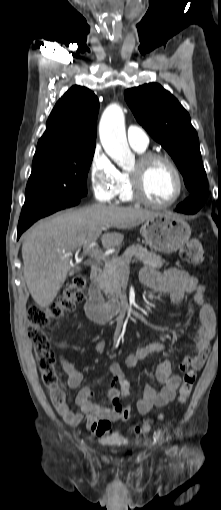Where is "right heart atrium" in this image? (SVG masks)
<instances>
[{
	"mask_svg": "<svg viewBox=\"0 0 221 510\" xmlns=\"http://www.w3.org/2000/svg\"><path fill=\"white\" fill-rule=\"evenodd\" d=\"M89 177L93 194L100 203H111L118 195L120 171L100 147H96L92 154Z\"/></svg>",
	"mask_w": 221,
	"mask_h": 510,
	"instance_id": "right-heart-atrium-1",
	"label": "right heart atrium"
}]
</instances>
